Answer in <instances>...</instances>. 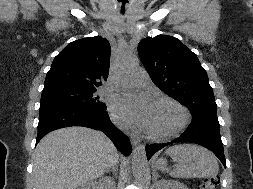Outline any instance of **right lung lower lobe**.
<instances>
[{"label": "right lung lower lobe", "instance_id": "right-lung-lower-lobe-1", "mask_svg": "<svg viewBox=\"0 0 253 189\" xmlns=\"http://www.w3.org/2000/svg\"><path fill=\"white\" fill-rule=\"evenodd\" d=\"M68 126L99 129L113 141L122 154L128 156L132 151L128 137L112 124L105 110L63 104L40 105L36 144L48 132Z\"/></svg>", "mask_w": 253, "mask_h": 189}]
</instances>
